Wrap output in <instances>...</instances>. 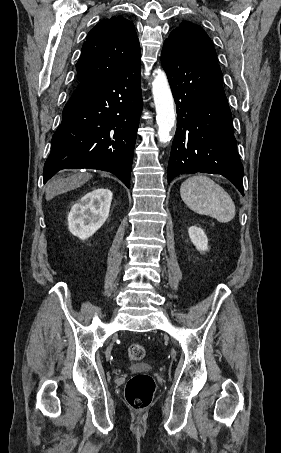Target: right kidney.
Here are the masks:
<instances>
[{
    "instance_id": "right-kidney-1",
    "label": "right kidney",
    "mask_w": 281,
    "mask_h": 453,
    "mask_svg": "<svg viewBox=\"0 0 281 453\" xmlns=\"http://www.w3.org/2000/svg\"><path fill=\"white\" fill-rule=\"evenodd\" d=\"M112 192L109 188H94L73 204L68 214V229L74 237H92L109 216Z\"/></svg>"
}]
</instances>
